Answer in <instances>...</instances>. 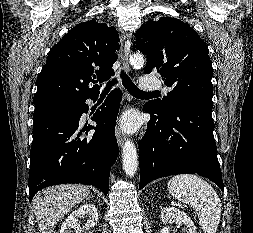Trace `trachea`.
I'll list each match as a JSON object with an SVG mask.
<instances>
[{
	"label": "trachea",
	"mask_w": 253,
	"mask_h": 233,
	"mask_svg": "<svg viewBox=\"0 0 253 233\" xmlns=\"http://www.w3.org/2000/svg\"><path fill=\"white\" fill-rule=\"evenodd\" d=\"M120 77L122 78L123 86L133 96H143V95L152 94V92H144L138 89L137 86L132 82V80L128 77V75L124 71L121 72ZM116 82H117L116 79H113L112 81H110L107 84V86L104 88L102 94H107L109 90L111 89V87L116 84Z\"/></svg>",
	"instance_id": "trachea-1"
}]
</instances>
